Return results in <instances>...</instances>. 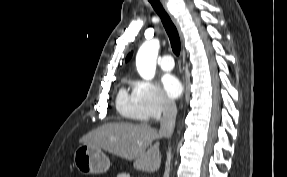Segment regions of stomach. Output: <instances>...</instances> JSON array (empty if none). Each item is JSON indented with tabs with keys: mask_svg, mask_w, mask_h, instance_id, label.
<instances>
[{
	"mask_svg": "<svg viewBox=\"0 0 287 177\" xmlns=\"http://www.w3.org/2000/svg\"><path fill=\"white\" fill-rule=\"evenodd\" d=\"M74 164L84 175L102 174L109 169L110 160L101 148L82 144L75 150Z\"/></svg>",
	"mask_w": 287,
	"mask_h": 177,
	"instance_id": "obj_1",
	"label": "stomach"
}]
</instances>
